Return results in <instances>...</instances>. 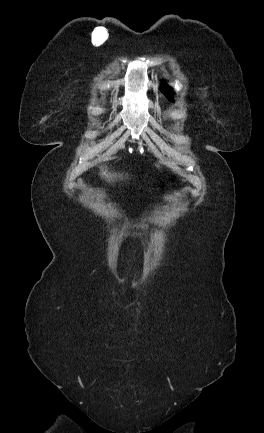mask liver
<instances>
[{
	"label": "liver",
	"mask_w": 264,
	"mask_h": 433,
	"mask_svg": "<svg viewBox=\"0 0 264 433\" xmlns=\"http://www.w3.org/2000/svg\"><path fill=\"white\" fill-rule=\"evenodd\" d=\"M102 175L105 176L106 178H108V180H110V178L112 179L114 177L113 174L107 173V171L102 172Z\"/></svg>",
	"instance_id": "1"
}]
</instances>
